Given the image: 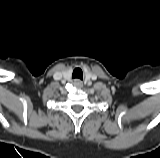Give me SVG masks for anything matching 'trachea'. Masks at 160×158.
Returning a JSON list of instances; mask_svg holds the SVG:
<instances>
[{"mask_svg":"<svg viewBox=\"0 0 160 158\" xmlns=\"http://www.w3.org/2000/svg\"><path fill=\"white\" fill-rule=\"evenodd\" d=\"M72 78L83 79V72L80 68H75L73 70Z\"/></svg>","mask_w":160,"mask_h":158,"instance_id":"1","label":"trachea"}]
</instances>
